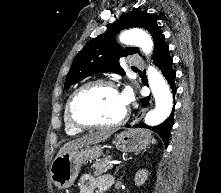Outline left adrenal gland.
Listing matches in <instances>:
<instances>
[{
	"label": "left adrenal gland",
	"mask_w": 221,
	"mask_h": 193,
	"mask_svg": "<svg viewBox=\"0 0 221 193\" xmlns=\"http://www.w3.org/2000/svg\"><path fill=\"white\" fill-rule=\"evenodd\" d=\"M124 165H121V166H119L118 168H116V170H115V172H114V175L116 176L117 175V172H118V170H119V168H122Z\"/></svg>",
	"instance_id": "a2214340"
}]
</instances>
